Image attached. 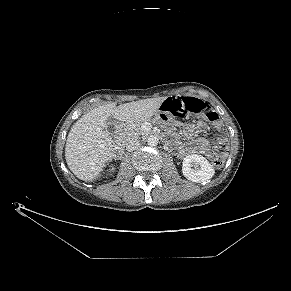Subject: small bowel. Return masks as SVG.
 I'll use <instances>...</instances> for the list:
<instances>
[{"label": "small bowel", "mask_w": 291, "mask_h": 291, "mask_svg": "<svg viewBox=\"0 0 291 291\" xmlns=\"http://www.w3.org/2000/svg\"><path fill=\"white\" fill-rule=\"evenodd\" d=\"M178 124V122H175ZM198 126H201V123H199ZM195 150L203 155L211 156V146L210 143L206 139H199L195 143Z\"/></svg>", "instance_id": "1"}]
</instances>
